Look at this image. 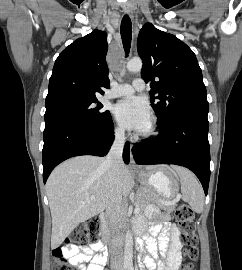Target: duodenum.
<instances>
[{"instance_id": "obj_1", "label": "duodenum", "mask_w": 242, "mask_h": 270, "mask_svg": "<svg viewBox=\"0 0 242 270\" xmlns=\"http://www.w3.org/2000/svg\"><path fill=\"white\" fill-rule=\"evenodd\" d=\"M109 217H110V214L108 212H104L100 215V222H101V226H102L104 245L111 242L110 230L108 228ZM132 233H133V231H132Z\"/></svg>"}]
</instances>
